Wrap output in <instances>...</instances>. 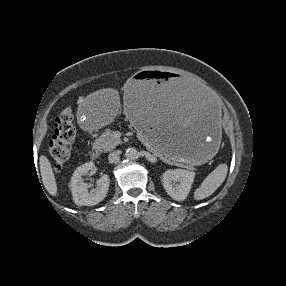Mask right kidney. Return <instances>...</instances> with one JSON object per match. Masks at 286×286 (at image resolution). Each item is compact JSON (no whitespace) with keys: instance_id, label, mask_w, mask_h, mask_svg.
<instances>
[{"instance_id":"obj_1","label":"right kidney","mask_w":286,"mask_h":286,"mask_svg":"<svg viewBox=\"0 0 286 286\" xmlns=\"http://www.w3.org/2000/svg\"><path fill=\"white\" fill-rule=\"evenodd\" d=\"M94 169L93 162H87L79 166L73 173L70 188L75 204L79 206H93L101 202L109 189V176L104 174L98 181L97 187L88 191L87 183H84L83 175H87Z\"/></svg>"}]
</instances>
